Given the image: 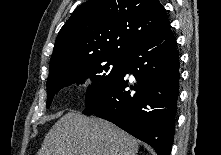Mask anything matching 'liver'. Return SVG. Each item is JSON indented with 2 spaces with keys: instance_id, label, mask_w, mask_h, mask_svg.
<instances>
[{
  "instance_id": "liver-1",
  "label": "liver",
  "mask_w": 221,
  "mask_h": 155,
  "mask_svg": "<svg viewBox=\"0 0 221 155\" xmlns=\"http://www.w3.org/2000/svg\"><path fill=\"white\" fill-rule=\"evenodd\" d=\"M138 148L137 140L114 124L68 112L46 134L37 155H136Z\"/></svg>"
}]
</instances>
